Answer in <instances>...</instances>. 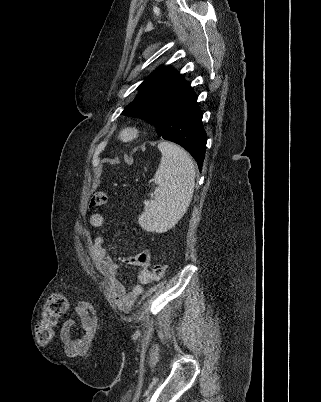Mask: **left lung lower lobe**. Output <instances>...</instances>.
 Returning <instances> with one entry per match:
<instances>
[{"mask_svg":"<svg viewBox=\"0 0 321 402\" xmlns=\"http://www.w3.org/2000/svg\"><path fill=\"white\" fill-rule=\"evenodd\" d=\"M196 100L193 89L183 80L161 104L154 126L159 136L185 148L201 170L207 135L202 125V112Z\"/></svg>","mask_w":321,"mask_h":402,"instance_id":"1","label":"left lung lower lobe"}]
</instances>
